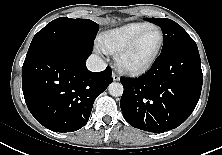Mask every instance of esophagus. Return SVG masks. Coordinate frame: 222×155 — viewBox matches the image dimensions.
Masks as SVG:
<instances>
[{
  "mask_svg": "<svg viewBox=\"0 0 222 155\" xmlns=\"http://www.w3.org/2000/svg\"><path fill=\"white\" fill-rule=\"evenodd\" d=\"M112 78L114 81H118L120 79L119 75H117L116 73H112Z\"/></svg>",
  "mask_w": 222,
  "mask_h": 155,
  "instance_id": "esophagus-1",
  "label": "esophagus"
}]
</instances>
